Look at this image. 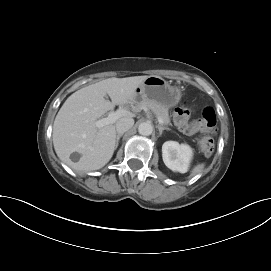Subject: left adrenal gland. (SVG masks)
<instances>
[{
	"instance_id": "a2214340",
	"label": "left adrenal gland",
	"mask_w": 271,
	"mask_h": 271,
	"mask_svg": "<svg viewBox=\"0 0 271 271\" xmlns=\"http://www.w3.org/2000/svg\"><path fill=\"white\" fill-rule=\"evenodd\" d=\"M157 128L159 130V136L162 135L164 130H169L168 128L162 127L161 125H157Z\"/></svg>"
}]
</instances>
